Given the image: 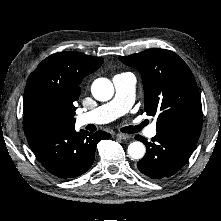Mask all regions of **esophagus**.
<instances>
[{"label":"esophagus","instance_id":"1","mask_svg":"<svg viewBox=\"0 0 221 221\" xmlns=\"http://www.w3.org/2000/svg\"><path fill=\"white\" fill-rule=\"evenodd\" d=\"M117 137H118L119 139L126 140V139H129V138H130V135L124 134V133H118V134H117Z\"/></svg>","mask_w":221,"mask_h":221}]
</instances>
